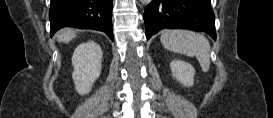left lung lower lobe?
<instances>
[{"label": "left lung lower lobe", "mask_w": 273, "mask_h": 118, "mask_svg": "<svg viewBox=\"0 0 273 118\" xmlns=\"http://www.w3.org/2000/svg\"><path fill=\"white\" fill-rule=\"evenodd\" d=\"M146 37L164 28L203 31L216 40L210 0H153L145 9Z\"/></svg>", "instance_id": "obj_1"}]
</instances>
